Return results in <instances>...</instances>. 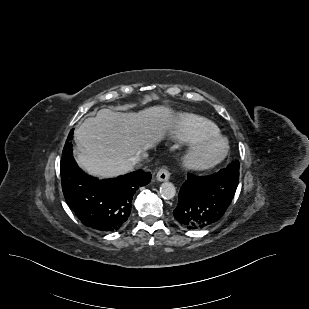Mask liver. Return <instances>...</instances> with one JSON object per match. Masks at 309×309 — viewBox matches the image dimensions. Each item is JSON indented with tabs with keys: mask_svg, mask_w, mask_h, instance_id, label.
Listing matches in <instances>:
<instances>
[{
	"mask_svg": "<svg viewBox=\"0 0 309 309\" xmlns=\"http://www.w3.org/2000/svg\"><path fill=\"white\" fill-rule=\"evenodd\" d=\"M173 111L153 106L137 113L101 109L75 131L78 164L89 174L114 177L129 172V159L146 157V151L161 141L173 127Z\"/></svg>",
	"mask_w": 309,
	"mask_h": 309,
	"instance_id": "1",
	"label": "liver"
}]
</instances>
